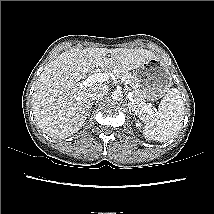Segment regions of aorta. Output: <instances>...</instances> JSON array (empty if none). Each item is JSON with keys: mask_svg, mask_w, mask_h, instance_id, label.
<instances>
[{"mask_svg": "<svg viewBox=\"0 0 214 214\" xmlns=\"http://www.w3.org/2000/svg\"><path fill=\"white\" fill-rule=\"evenodd\" d=\"M112 99L115 100V101H121L123 99V94L121 91L119 90H115L113 93H112Z\"/></svg>", "mask_w": 214, "mask_h": 214, "instance_id": "762f6f07", "label": "aorta"}]
</instances>
